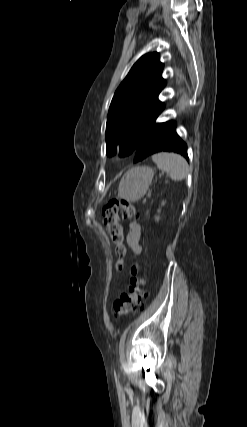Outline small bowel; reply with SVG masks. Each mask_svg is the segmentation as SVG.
Masks as SVG:
<instances>
[{
    "label": "small bowel",
    "mask_w": 247,
    "mask_h": 427,
    "mask_svg": "<svg viewBox=\"0 0 247 427\" xmlns=\"http://www.w3.org/2000/svg\"><path fill=\"white\" fill-rule=\"evenodd\" d=\"M141 229L139 224L131 222L127 234V243L134 253L139 254L142 250L140 244Z\"/></svg>",
    "instance_id": "c3829d8e"
}]
</instances>
